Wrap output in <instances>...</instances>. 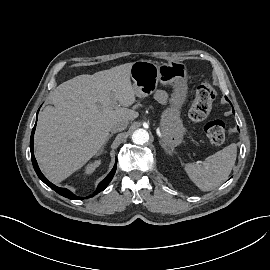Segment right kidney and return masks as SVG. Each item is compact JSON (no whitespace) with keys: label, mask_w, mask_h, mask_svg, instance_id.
<instances>
[{"label":"right kidney","mask_w":270,"mask_h":270,"mask_svg":"<svg viewBox=\"0 0 270 270\" xmlns=\"http://www.w3.org/2000/svg\"><path fill=\"white\" fill-rule=\"evenodd\" d=\"M101 164L100 160H96L93 163H90L86 166L85 173L91 174L94 172V170Z\"/></svg>","instance_id":"obj_1"}]
</instances>
